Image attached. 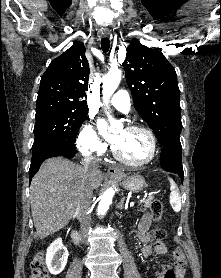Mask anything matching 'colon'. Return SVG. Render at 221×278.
<instances>
[{
    "mask_svg": "<svg viewBox=\"0 0 221 278\" xmlns=\"http://www.w3.org/2000/svg\"><path fill=\"white\" fill-rule=\"evenodd\" d=\"M150 215L155 222H159L163 217V206L159 200H154L150 207ZM154 236L158 239L165 237V232L161 229L154 231ZM31 278H51L44 263V254L38 253L31 262ZM165 278H176L173 270L165 272Z\"/></svg>",
    "mask_w": 221,
    "mask_h": 278,
    "instance_id": "colon-1",
    "label": "colon"
}]
</instances>
